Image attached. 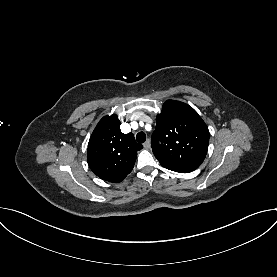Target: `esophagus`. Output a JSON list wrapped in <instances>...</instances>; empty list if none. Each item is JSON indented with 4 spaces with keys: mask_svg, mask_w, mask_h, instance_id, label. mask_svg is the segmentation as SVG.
I'll use <instances>...</instances> for the list:
<instances>
[{
    "mask_svg": "<svg viewBox=\"0 0 277 277\" xmlns=\"http://www.w3.org/2000/svg\"><path fill=\"white\" fill-rule=\"evenodd\" d=\"M150 140H146L145 141V143L143 144V147L145 148V149H149L150 148Z\"/></svg>",
    "mask_w": 277,
    "mask_h": 277,
    "instance_id": "34e87169",
    "label": "esophagus"
}]
</instances>
